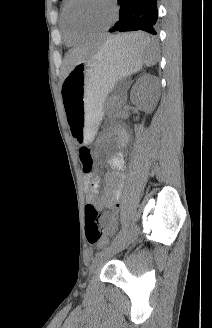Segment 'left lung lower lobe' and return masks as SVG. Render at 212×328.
<instances>
[{
    "label": "left lung lower lobe",
    "instance_id": "1",
    "mask_svg": "<svg viewBox=\"0 0 212 328\" xmlns=\"http://www.w3.org/2000/svg\"><path fill=\"white\" fill-rule=\"evenodd\" d=\"M120 3L119 20L109 32L143 30L156 35L154 25L158 19L157 0H118ZM149 37V36H148ZM136 46L154 45V39L139 44H130V48Z\"/></svg>",
    "mask_w": 212,
    "mask_h": 328
}]
</instances>
